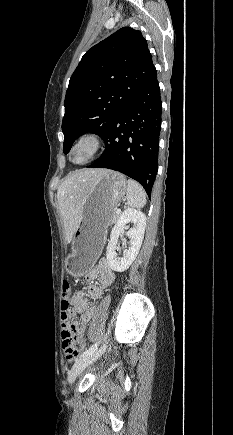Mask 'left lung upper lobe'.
<instances>
[{"label":"left lung upper lobe","mask_w":233,"mask_h":435,"mask_svg":"<svg viewBox=\"0 0 233 435\" xmlns=\"http://www.w3.org/2000/svg\"><path fill=\"white\" fill-rule=\"evenodd\" d=\"M147 41L138 30L123 27L89 49L72 74L62 122L63 152L82 133L106 137L116 117L153 76Z\"/></svg>","instance_id":"left-lung-upper-lobe-1"}]
</instances>
